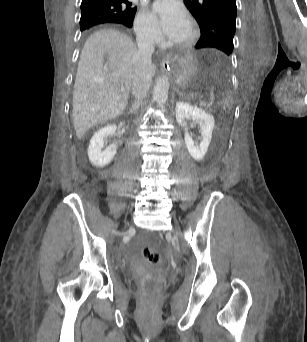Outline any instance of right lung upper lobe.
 Segmentation results:
<instances>
[{
	"instance_id": "cb5924a9",
	"label": "right lung upper lobe",
	"mask_w": 307,
	"mask_h": 342,
	"mask_svg": "<svg viewBox=\"0 0 307 342\" xmlns=\"http://www.w3.org/2000/svg\"><path fill=\"white\" fill-rule=\"evenodd\" d=\"M88 9H108L115 11L120 15L119 18L104 23L122 24L126 27L132 26L136 13V8H133L132 2L128 0H82L81 10Z\"/></svg>"
}]
</instances>
